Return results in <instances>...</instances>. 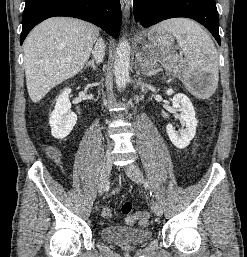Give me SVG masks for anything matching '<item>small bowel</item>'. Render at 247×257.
Wrapping results in <instances>:
<instances>
[{"mask_svg":"<svg viewBox=\"0 0 247 257\" xmlns=\"http://www.w3.org/2000/svg\"><path fill=\"white\" fill-rule=\"evenodd\" d=\"M51 149H53L55 151V155L54 156H50V157L53 158V159H57L58 158V151L56 149H54V148H51Z\"/></svg>","mask_w":247,"mask_h":257,"instance_id":"1","label":"small bowel"}]
</instances>
